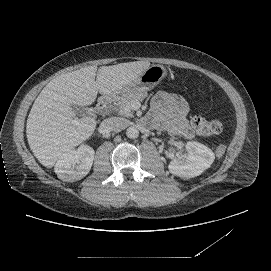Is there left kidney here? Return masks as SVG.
I'll return each mask as SVG.
<instances>
[{
	"label": "left kidney",
	"mask_w": 271,
	"mask_h": 271,
	"mask_svg": "<svg viewBox=\"0 0 271 271\" xmlns=\"http://www.w3.org/2000/svg\"><path fill=\"white\" fill-rule=\"evenodd\" d=\"M186 149L189 152L187 161L173 159L169 163L171 173L184 178H192L207 170L215 160L214 152L198 142H188Z\"/></svg>",
	"instance_id": "left-kidney-1"
}]
</instances>
